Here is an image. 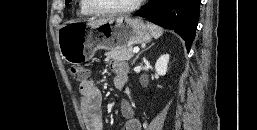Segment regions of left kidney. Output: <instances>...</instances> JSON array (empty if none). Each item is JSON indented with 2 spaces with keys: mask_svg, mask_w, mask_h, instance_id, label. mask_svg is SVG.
<instances>
[{
  "mask_svg": "<svg viewBox=\"0 0 257 130\" xmlns=\"http://www.w3.org/2000/svg\"><path fill=\"white\" fill-rule=\"evenodd\" d=\"M168 62H169L168 54H164V55L160 56V58L157 60V62L155 64V70L158 75H160V76L166 75Z\"/></svg>",
  "mask_w": 257,
  "mask_h": 130,
  "instance_id": "left-kidney-1",
  "label": "left kidney"
}]
</instances>
